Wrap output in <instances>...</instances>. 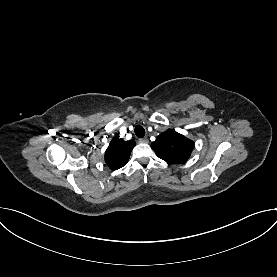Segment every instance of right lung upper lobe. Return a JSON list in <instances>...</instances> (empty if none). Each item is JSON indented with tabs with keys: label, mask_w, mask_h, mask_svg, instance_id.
<instances>
[{
	"label": "right lung upper lobe",
	"mask_w": 277,
	"mask_h": 277,
	"mask_svg": "<svg viewBox=\"0 0 277 277\" xmlns=\"http://www.w3.org/2000/svg\"><path fill=\"white\" fill-rule=\"evenodd\" d=\"M135 141H124L123 139L114 138L110 142L105 152V162L112 170H117L128 162L130 153L134 146Z\"/></svg>",
	"instance_id": "obj_1"
}]
</instances>
